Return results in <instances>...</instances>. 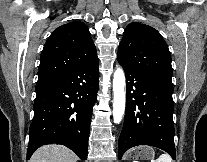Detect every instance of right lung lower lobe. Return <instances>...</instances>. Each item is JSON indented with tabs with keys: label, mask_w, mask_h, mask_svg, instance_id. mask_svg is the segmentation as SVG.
<instances>
[{
	"label": "right lung lower lobe",
	"mask_w": 207,
	"mask_h": 162,
	"mask_svg": "<svg viewBox=\"0 0 207 162\" xmlns=\"http://www.w3.org/2000/svg\"><path fill=\"white\" fill-rule=\"evenodd\" d=\"M98 60L40 79L29 130L27 160L43 144L56 142L87 159L92 108L98 91Z\"/></svg>",
	"instance_id": "98d812e1"
}]
</instances>
